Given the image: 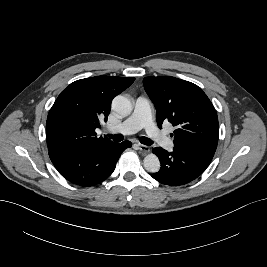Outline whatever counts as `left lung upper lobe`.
<instances>
[{
  "label": "left lung upper lobe",
  "mask_w": 267,
  "mask_h": 267,
  "mask_svg": "<svg viewBox=\"0 0 267 267\" xmlns=\"http://www.w3.org/2000/svg\"><path fill=\"white\" fill-rule=\"evenodd\" d=\"M145 91L156 107L157 123L176 127L175 148H185L214 156L219 137L214 106L197 85L175 77H145Z\"/></svg>",
  "instance_id": "left-lung-upper-lobe-1"
}]
</instances>
